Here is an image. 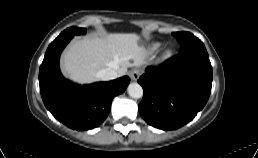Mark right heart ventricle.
Masks as SVG:
<instances>
[{
  "instance_id": "obj_1",
  "label": "right heart ventricle",
  "mask_w": 258,
  "mask_h": 158,
  "mask_svg": "<svg viewBox=\"0 0 258 158\" xmlns=\"http://www.w3.org/2000/svg\"><path fill=\"white\" fill-rule=\"evenodd\" d=\"M159 48V44L158 43H156V44H154L153 46H152V49L153 50H156V49H158Z\"/></svg>"
}]
</instances>
